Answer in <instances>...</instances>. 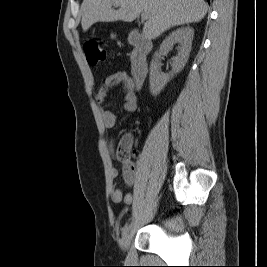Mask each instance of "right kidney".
<instances>
[{
  "label": "right kidney",
  "instance_id": "right-kidney-1",
  "mask_svg": "<svg viewBox=\"0 0 267 267\" xmlns=\"http://www.w3.org/2000/svg\"><path fill=\"white\" fill-rule=\"evenodd\" d=\"M194 30L190 27H181L170 33L161 43L159 51L154 54L150 64V92L157 96L176 73L180 72L188 61L191 51ZM179 44L178 54L172 58V71L162 73L159 68V58L167 54L173 45Z\"/></svg>",
  "mask_w": 267,
  "mask_h": 267
}]
</instances>
